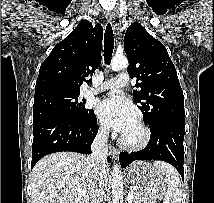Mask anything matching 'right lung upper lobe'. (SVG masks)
Here are the masks:
<instances>
[{
    "label": "right lung upper lobe",
    "mask_w": 214,
    "mask_h": 203,
    "mask_svg": "<svg viewBox=\"0 0 214 203\" xmlns=\"http://www.w3.org/2000/svg\"><path fill=\"white\" fill-rule=\"evenodd\" d=\"M103 29L83 20L41 64L35 98L51 93H80L83 82L100 65Z\"/></svg>",
    "instance_id": "obj_1"
}]
</instances>
